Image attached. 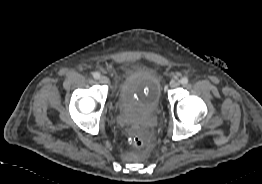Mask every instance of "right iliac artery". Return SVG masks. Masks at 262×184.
<instances>
[{
  "label": "right iliac artery",
  "mask_w": 262,
  "mask_h": 184,
  "mask_svg": "<svg viewBox=\"0 0 262 184\" xmlns=\"http://www.w3.org/2000/svg\"><path fill=\"white\" fill-rule=\"evenodd\" d=\"M93 77H94L95 79H99V78H100V73H99V72H95V73L93 74Z\"/></svg>",
  "instance_id": "82829eb1"
}]
</instances>
